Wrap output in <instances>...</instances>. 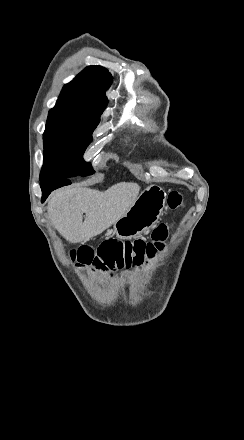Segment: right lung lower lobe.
<instances>
[{
    "mask_svg": "<svg viewBox=\"0 0 244 440\" xmlns=\"http://www.w3.org/2000/svg\"><path fill=\"white\" fill-rule=\"evenodd\" d=\"M71 181L69 178H59V179H46L40 182V186L42 189V198L41 202H44L48 195L55 189L69 185Z\"/></svg>",
    "mask_w": 244,
    "mask_h": 440,
    "instance_id": "1",
    "label": "right lung lower lobe"
}]
</instances>
